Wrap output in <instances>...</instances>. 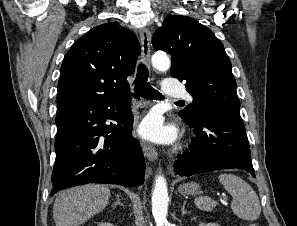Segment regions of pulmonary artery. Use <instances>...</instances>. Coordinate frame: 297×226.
I'll return each mask as SVG.
<instances>
[{"mask_svg": "<svg viewBox=\"0 0 297 226\" xmlns=\"http://www.w3.org/2000/svg\"><path fill=\"white\" fill-rule=\"evenodd\" d=\"M162 92L165 97L191 99L186 90L182 86L178 85L175 78H167L164 80Z\"/></svg>", "mask_w": 297, "mask_h": 226, "instance_id": "pulmonary-artery-1", "label": "pulmonary artery"}]
</instances>
